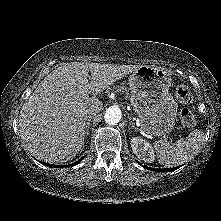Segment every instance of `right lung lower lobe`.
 Masks as SVG:
<instances>
[{"label":"right lung lower lobe","mask_w":221,"mask_h":221,"mask_svg":"<svg viewBox=\"0 0 221 221\" xmlns=\"http://www.w3.org/2000/svg\"><path fill=\"white\" fill-rule=\"evenodd\" d=\"M85 156H83L81 159H79L76 163H74L73 165L77 164L78 162H80ZM44 164V163H43ZM50 166H54V167H60V166H57V165H50Z\"/></svg>","instance_id":"obj_1"}]
</instances>
